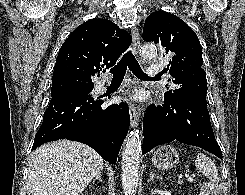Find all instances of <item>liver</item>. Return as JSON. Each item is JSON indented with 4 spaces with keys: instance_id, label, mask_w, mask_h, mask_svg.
Listing matches in <instances>:
<instances>
[{
    "instance_id": "6515ba94",
    "label": "liver",
    "mask_w": 245,
    "mask_h": 195,
    "mask_svg": "<svg viewBox=\"0 0 245 195\" xmlns=\"http://www.w3.org/2000/svg\"><path fill=\"white\" fill-rule=\"evenodd\" d=\"M102 169V157L85 144H44L30 157L28 195H79Z\"/></svg>"
}]
</instances>
